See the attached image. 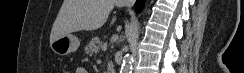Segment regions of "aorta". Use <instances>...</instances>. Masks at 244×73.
<instances>
[{"label": "aorta", "instance_id": "obj_1", "mask_svg": "<svg viewBox=\"0 0 244 73\" xmlns=\"http://www.w3.org/2000/svg\"><path fill=\"white\" fill-rule=\"evenodd\" d=\"M132 70V56L130 54H126L123 58V62L121 65V73H131Z\"/></svg>", "mask_w": 244, "mask_h": 73}]
</instances>
